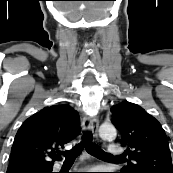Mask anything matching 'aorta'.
<instances>
[{"instance_id": "762f6f07", "label": "aorta", "mask_w": 173, "mask_h": 173, "mask_svg": "<svg viewBox=\"0 0 173 173\" xmlns=\"http://www.w3.org/2000/svg\"><path fill=\"white\" fill-rule=\"evenodd\" d=\"M99 135L102 139L113 140L115 139L117 132L112 124L104 123L99 128Z\"/></svg>"}]
</instances>
